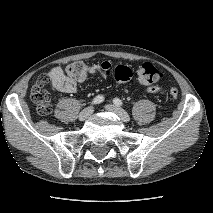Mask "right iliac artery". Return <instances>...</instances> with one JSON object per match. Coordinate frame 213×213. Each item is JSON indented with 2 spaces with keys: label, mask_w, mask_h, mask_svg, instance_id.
<instances>
[{
  "label": "right iliac artery",
  "mask_w": 213,
  "mask_h": 213,
  "mask_svg": "<svg viewBox=\"0 0 213 213\" xmlns=\"http://www.w3.org/2000/svg\"><path fill=\"white\" fill-rule=\"evenodd\" d=\"M104 101V97L102 95H98L96 96L93 100H92V104L93 105H97V104H100Z\"/></svg>",
  "instance_id": "obj_1"
}]
</instances>
